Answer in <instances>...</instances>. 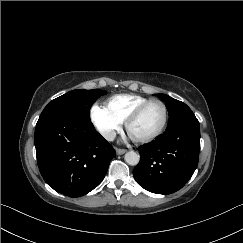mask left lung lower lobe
Returning <instances> with one entry per match:
<instances>
[{"label":"left lung lower lobe","instance_id":"left-lung-lower-lobe-1","mask_svg":"<svg viewBox=\"0 0 243 243\" xmlns=\"http://www.w3.org/2000/svg\"><path fill=\"white\" fill-rule=\"evenodd\" d=\"M200 124L189 115L148 145L141 146L135 180L147 191L170 194L181 189L198 165Z\"/></svg>","mask_w":243,"mask_h":243}]
</instances>
